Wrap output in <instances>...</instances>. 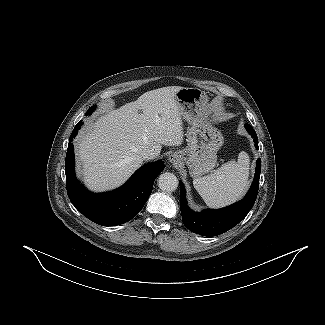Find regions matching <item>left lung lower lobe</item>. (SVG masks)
Masks as SVG:
<instances>
[{"label": "left lung lower lobe", "mask_w": 325, "mask_h": 325, "mask_svg": "<svg viewBox=\"0 0 325 325\" xmlns=\"http://www.w3.org/2000/svg\"><path fill=\"white\" fill-rule=\"evenodd\" d=\"M245 128L254 139L256 149H259L255 130L249 124H245ZM260 172L261 159L258 158L254 180L248 193L241 201L226 208L203 210L200 213L189 209L185 198V188L180 181V210L184 225L196 234L209 237L222 234L236 226L247 216L255 203L259 188Z\"/></svg>", "instance_id": "left-lung-lower-lobe-1"}]
</instances>
